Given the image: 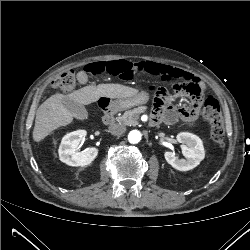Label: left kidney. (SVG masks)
I'll list each match as a JSON object with an SVG mask.
<instances>
[{"instance_id": "1", "label": "left kidney", "mask_w": 250, "mask_h": 250, "mask_svg": "<svg viewBox=\"0 0 250 250\" xmlns=\"http://www.w3.org/2000/svg\"><path fill=\"white\" fill-rule=\"evenodd\" d=\"M177 141L182 144V153L186 159H179L173 152H165L166 161L179 171L194 169L205 157L202 140L192 133L181 132L177 135Z\"/></svg>"}]
</instances>
